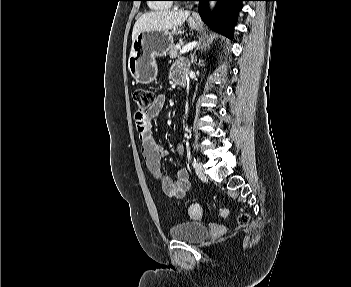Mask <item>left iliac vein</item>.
Wrapping results in <instances>:
<instances>
[{
	"label": "left iliac vein",
	"mask_w": 351,
	"mask_h": 287,
	"mask_svg": "<svg viewBox=\"0 0 351 287\" xmlns=\"http://www.w3.org/2000/svg\"><path fill=\"white\" fill-rule=\"evenodd\" d=\"M195 171H196V174H197V176L199 178H204L205 177L203 163L198 162L196 164Z\"/></svg>",
	"instance_id": "obj_1"
}]
</instances>
